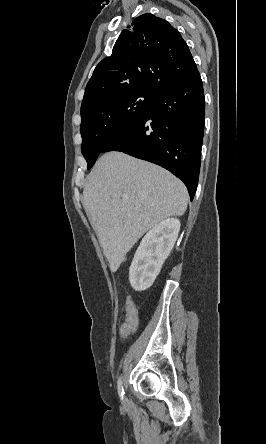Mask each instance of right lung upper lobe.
I'll return each instance as SVG.
<instances>
[{"instance_id": "1", "label": "right lung upper lobe", "mask_w": 266, "mask_h": 444, "mask_svg": "<svg viewBox=\"0 0 266 444\" xmlns=\"http://www.w3.org/2000/svg\"><path fill=\"white\" fill-rule=\"evenodd\" d=\"M196 71L179 31L164 19L143 14L122 31L111 56L96 66L87 83L81 111L121 91L156 94L189 79Z\"/></svg>"}]
</instances>
